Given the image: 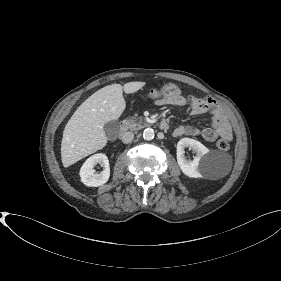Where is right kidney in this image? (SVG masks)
Wrapping results in <instances>:
<instances>
[{"mask_svg": "<svg viewBox=\"0 0 281 281\" xmlns=\"http://www.w3.org/2000/svg\"><path fill=\"white\" fill-rule=\"evenodd\" d=\"M100 164L104 170L95 173L94 167ZM80 177L83 184L89 187H98L105 184L110 177L109 161L105 154L98 153L89 157L80 169Z\"/></svg>", "mask_w": 281, "mask_h": 281, "instance_id": "right-kidney-1", "label": "right kidney"}]
</instances>
